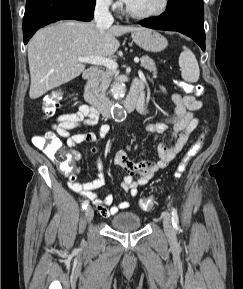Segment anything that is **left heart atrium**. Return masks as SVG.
Masks as SVG:
<instances>
[{"label": "left heart atrium", "mask_w": 243, "mask_h": 289, "mask_svg": "<svg viewBox=\"0 0 243 289\" xmlns=\"http://www.w3.org/2000/svg\"><path fill=\"white\" fill-rule=\"evenodd\" d=\"M123 1H125L126 3L128 2V0H123Z\"/></svg>", "instance_id": "1"}]
</instances>
